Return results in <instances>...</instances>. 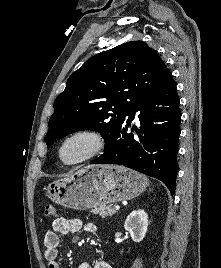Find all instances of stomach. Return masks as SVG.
I'll list each match as a JSON object with an SVG mask.
<instances>
[{
	"instance_id": "0dacf381",
	"label": "stomach",
	"mask_w": 221,
	"mask_h": 268,
	"mask_svg": "<svg viewBox=\"0 0 221 268\" xmlns=\"http://www.w3.org/2000/svg\"><path fill=\"white\" fill-rule=\"evenodd\" d=\"M147 186V179L117 165H88L69 177L51 183L47 196L67 208L86 210L133 199Z\"/></svg>"
}]
</instances>
